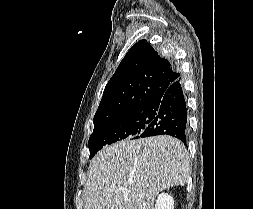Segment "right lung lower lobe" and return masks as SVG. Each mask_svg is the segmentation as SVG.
<instances>
[{
	"instance_id": "obj_1",
	"label": "right lung lower lobe",
	"mask_w": 253,
	"mask_h": 209,
	"mask_svg": "<svg viewBox=\"0 0 253 209\" xmlns=\"http://www.w3.org/2000/svg\"><path fill=\"white\" fill-rule=\"evenodd\" d=\"M150 106L156 111V116L139 135V138L170 135L186 144L187 107L180 78L172 83L163 96Z\"/></svg>"
}]
</instances>
